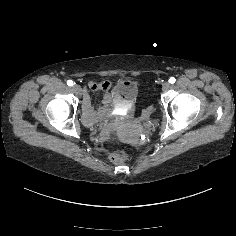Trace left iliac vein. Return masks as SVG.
I'll return each mask as SVG.
<instances>
[{
    "label": "left iliac vein",
    "instance_id": "obj_1",
    "mask_svg": "<svg viewBox=\"0 0 236 236\" xmlns=\"http://www.w3.org/2000/svg\"><path fill=\"white\" fill-rule=\"evenodd\" d=\"M170 87H171V85H170V83H168V82H165V83H163V85H162V89H163L164 91H168V90L170 89Z\"/></svg>",
    "mask_w": 236,
    "mask_h": 236
}]
</instances>
